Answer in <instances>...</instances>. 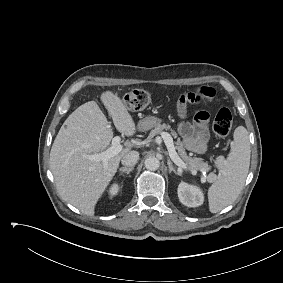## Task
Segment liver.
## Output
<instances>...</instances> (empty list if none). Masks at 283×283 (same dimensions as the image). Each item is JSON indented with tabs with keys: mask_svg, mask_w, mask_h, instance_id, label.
<instances>
[{
	"mask_svg": "<svg viewBox=\"0 0 283 283\" xmlns=\"http://www.w3.org/2000/svg\"><path fill=\"white\" fill-rule=\"evenodd\" d=\"M116 129L126 136L136 132V125L123 101L111 91L100 97ZM113 138L106 116L95 101L79 106L65 120L50 152V168L61 197L88 216L117 172L120 160L129 153L127 145L106 164L91 161L88 155L105 150Z\"/></svg>",
	"mask_w": 283,
	"mask_h": 283,
	"instance_id": "liver-1",
	"label": "liver"
}]
</instances>
